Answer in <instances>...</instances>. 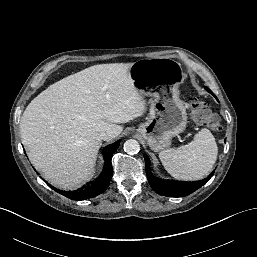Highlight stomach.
Listing matches in <instances>:
<instances>
[{
    "label": "stomach",
    "instance_id": "1",
    "mask_svg": "<svg viewBox=\"0 0 257 257\" xmlns=\"http://www.w3.org/2000/svg\"><path fill=\"white\" fill-rule=\"evenodd\" d=\"M128 74L137 89L151 96L148 119L139 126L138 134L153 151L168 149L187 124L186 109L179 98L184 79L181 64L170 58L140 59L132 63Z\"/></svg>",
    "mask_w": 257,
    "mask_h": 257
}]
</instances>
